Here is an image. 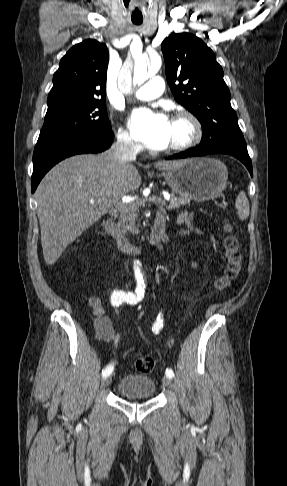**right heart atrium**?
<instances>
[{"label":"right heart atrium","mask_w":287,"mask_h":486,"mask_svg":"<svg viewBox=\"0 0 287 486\" xmlns=\"http://www.w3.org/2000/svg\"><path fill=\"white\" fill-rule=\"evenodd\" d=\"M116 139L118 144L125 149L136 150L138 148V145L135 143L129 132L122 127L117 129Z\"/></svg>","instance_id":"right-heart-atrium-1"}]
</instances>
